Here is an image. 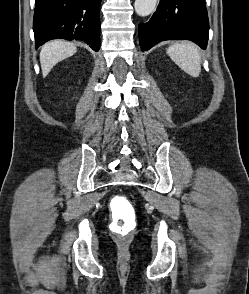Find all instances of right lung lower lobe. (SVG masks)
Returning a JSON list of instances; mask_svg holds the SVG:
<instances>
[{
  "label": "right lung lower lobe",
  "mask_w": 249,
  "mask_h": 294,
  "mask_svg": "<svg viewBox=\"0 0 249 294\" xmlns=\"http://www.w3.org/2000/svg\"><path fill=\"white\" fill-rule=\"evenodd\" d=\"M101 0H36L33 30L36 47L55 38L83 40L100 48Z\"/></svg>",
  "instance_id": "1"
}]
</instances>
